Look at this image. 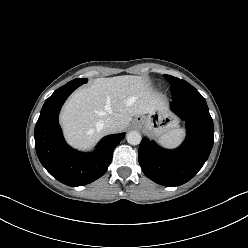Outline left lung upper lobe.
<instances>
[{
  "label": "left lung upper lobe",
  "instance_id": "5c2ea615",
  "mask_svg": "<svg viewBox=\"0 0 248 248\" xmlns=\"http://www.w3.org/2000/svg\"><path fill=\"white\" fill-rule=\"evenodd\" d=\"M164 77L171 85V93L173 97H184L200 94L192 85L182 79L170 75H164Z\"/></svg>",
  "mask_w": 248,
  "mask_h": 248
}]
</instances>
